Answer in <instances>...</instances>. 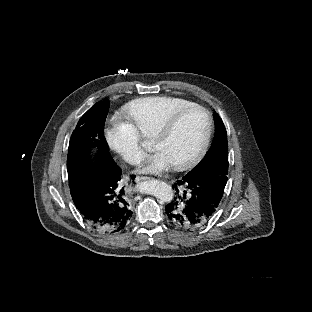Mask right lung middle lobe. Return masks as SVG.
Wrapping results in <instances>:
<instances>
[{
    "label": "right lung middle lobe",
    "instance_id": "1",
    "mask_svg": "<svg viewBox=\"0 0 312 312\" xmlns=\"http://www.w3.org/2000/svg\"><path fill=\"white\" fill-rule=\"evenodd\" d=\"M109 102H97L78 121L69 142L67 171L69 181L82 171L90 158L92 148H97L96 157L108 160L109 150L104 137V124Z\"/></svg>",
    "mask_w": 312,
    "mask_h": 312
}]
</instances>
